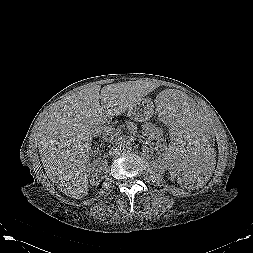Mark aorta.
Segmentation results:
<instances>
[{
  "label": "aorta",
  "mask_w": 253,
  "mask_h": 253,
  "mask_svg": "<svg viewBox=\"0 0 253 253\" xmlns=\"http://www.w3.org/2000/svg\"><path fill=\"white\" fill-rule=\"evenodd\" d=\"M118 148L121 153H129L132 150L131 143L127 140H122L118 142Z\"/></svg>",
  "instance_id": "762f6f07"
}]
</instances>
